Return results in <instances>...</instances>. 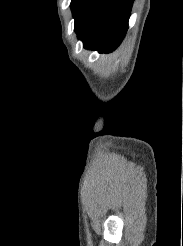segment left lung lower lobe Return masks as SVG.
<instances>
[{"label":"left lung lower lobe","mask_w":183,"mask_h":246,"mask_svg":"<svg viewBox=\"0 0 183 246\" xmlns=\"http://www.w3.org/2000/svg\"><path fill=\"white\" fill-rule=\"evenodd\" d=\"M134 0H72L74 30L83 47L108 53L122 42Z\"/></svg>","instance_id":"1"}]
</instances>
